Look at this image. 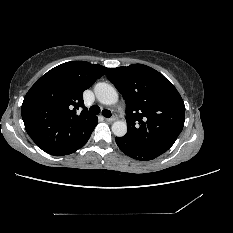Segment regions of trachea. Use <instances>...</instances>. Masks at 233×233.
Wrapping results in <instances>:
<instances>
[{"instance_id": "1", "label": "trachea", "mask_w": 233, "mask_h": 233, "mask_svg": "<svg viewBox=\"0 0 233 233\" xmlns=\"http://www.w3.org/2000/svg\"><path fill=\"white\" fill-rule=\"evenodd\" d=\"M89 112L91 115H98L100 113V108L97 105H93L90 107ZM102 115L104 117L110 118L111 117V111L110 110H102Z\"/></svg>"}]
</instances>
